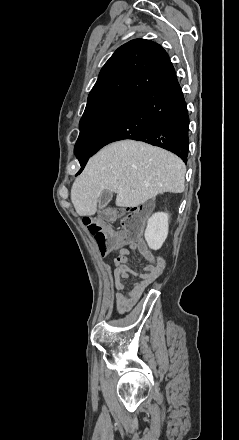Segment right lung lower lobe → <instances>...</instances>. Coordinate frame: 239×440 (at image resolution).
I'll return each mask as SVG.
<instances>
[{
  "instance_id": "obj_1",
  "label": "right lung lower lobe",
  "mask_w": 239,
  "mask_h": 440,
  "mask_svg": "<svg viewBox=\"0 0 239 440\" xmlns=\"http://www.w3.org/2000/svg\"><path fill=\"white\" fill-rule=\"evenodd\" d=\"M189 116L186 102L172 69L148 91L133 98L116 121L100 136L91 152L76 154L81 169L108 143L133 139L159 146L187 161Z\"/></svg>"
}]
</instances>
